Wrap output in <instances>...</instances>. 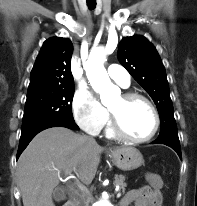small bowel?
<instances>
[{
	"instance_id": "1",
	"label": "small bowel",
	"mask_w": 197,
	"mask_h": 206,
	"mask_svg": "<svg viewBox=\"0 0 197 206\" xmlns=\"http://www.w3.org/2000/svg\"><path fill=\"white\" fill-rule=\"evenodd\" d=\"M162 206V195L159 188L145 186L128 191L121 200L120 206Z\"/></svg>"
}]
</instances>
